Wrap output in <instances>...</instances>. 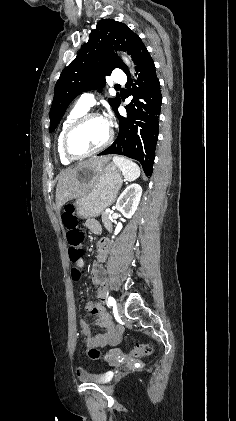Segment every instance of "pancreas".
I'll use <instances>...</instances> for the list:
<instances>
[{
  "label": "pancreas",
  "instance_id": "obj_1",
  "mask_svg": "<svg viewBox=\"0 0 236 421\" xmlns=\"http://www.w3.org/2000/svg\"><path fill=\"white\" fill-rule=\"evenodd\" d=\"M102 223H104L105 229H108L109 233L112 231V223L109 219V213H101Z\"/></svg>",
  "mask_w": 236,
  "mask_h": 421
}]
</instances>
